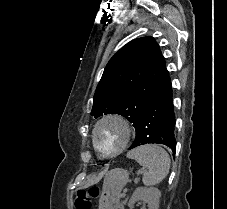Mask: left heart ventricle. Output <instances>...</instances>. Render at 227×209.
<instances>
[{"label": "left heart ventricle", "mask_w": 227, "mask_h": 209, "mask_svg": "<svg viewBox=\"0 0 227 209\" xmlns=\"http://www.w3.org/2000/svg\"><path fill=\"white\" fill-rule=\"evenodd\" d=\"M125 139L123 126L114 121L106 120L99 125L95 134L97 147L102 153H109L118 149Z\"/></svg>", "instance_id": "obj_1"}]
</instances>
